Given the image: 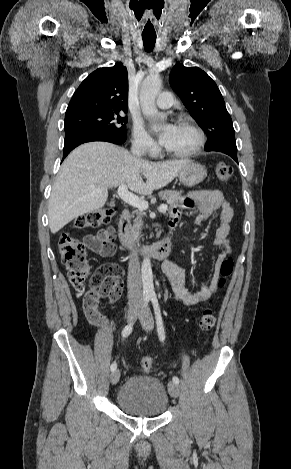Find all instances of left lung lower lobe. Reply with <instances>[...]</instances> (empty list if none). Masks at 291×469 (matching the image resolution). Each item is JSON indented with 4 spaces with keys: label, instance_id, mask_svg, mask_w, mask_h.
I'll list each match as a JSON object with an SVG mask.
<instances>
[{
    "label": "left lung lower lobe",
    "instance_id": "0a47b994",
    "mask_svg": "<svg viewBox=\"0 0 291 469\" xmlns=\"http://www.w3.org/2000/svg\"><path fill=\"white\" fill-rule=\"evenodd\" d=\"M205 150L206 151H218V152L225 153V154L229 155L230 157H232L238 163V160H237V147H235V146L224 145V146H218V147H215V148H210V149H205Z\"/></svg>",
    "mask_w": 291,
    "mask_h": 469
}]
</instances>
